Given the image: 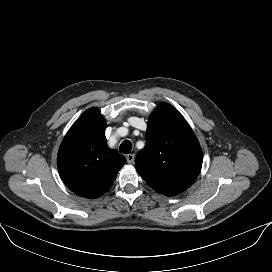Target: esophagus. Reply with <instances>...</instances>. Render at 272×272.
<instances>
[{
  "label": "esophagus",
  "instance_id": "obj_1",
  "mask_svg": "<svg viewBox=\"0 0 272 272\" xmlns=\"http://www.w3.org/2000/svg\"><path fill=\"white\" fill-rule=\"evenodd\" d=\"M126 160L129 164H133L135 161V155L134 154H128L126 157Z\"/></svg>",
  "mask_w": 272,
  "mask_h": 272
}]
</instances>
